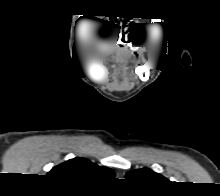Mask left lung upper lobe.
I'll return each instance as SVG.
<instances>
[{"label":"left lung upper lobe","mask_w":220,"mask_h":196,"mask_svg":"<svg viewBox=\"0 0 220 196\" xmlns=\"http://www.w3.org/2000/svg\"><path fill=\"white\" fill-rule=\"evenodd\" d=\"M126 178L130 181L142 184H155L162 181H167L162 175L153 172L151 169H138L130 171L126 174Z\"/></svg>","instance_id":"obj_1"}]
</instances>
